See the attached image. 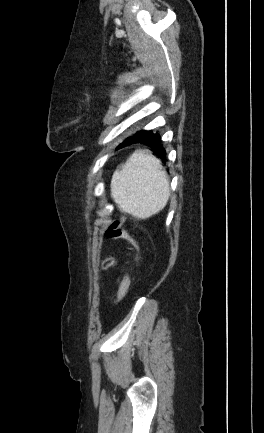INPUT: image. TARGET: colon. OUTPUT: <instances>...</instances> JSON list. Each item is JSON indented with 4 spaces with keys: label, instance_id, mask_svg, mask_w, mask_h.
<instances>
[{
    "label": "colon",
    "instance_id": "5ec220e1",
    "mask_svg": "<svg viewBox=\"0 0 264 433\" xmlns=\"http://www.w3.org/2000/svg\"><path fill=\"white\" fill-rule=\"evenodd\" d=\"M125 218H118V219H114L111 224L107 227V229L105 230V234L108 238L111 239H121L126 241L133 249H134V260H138L139 258V247L136 243V241L126 232L124 231L121 226L124 223ZM116 264V260L113 257H107L102 261V267L104 269H108L111 268L113 266H115ZM130 276L127 272L124 273L118 292H117V296L114 300V304L119 303L120 301H122L124 299V297L126 296L129 287H130Z\"/></svg>",
    "mask_w": 264,
    "mask_h": 433
}]
</instances>
